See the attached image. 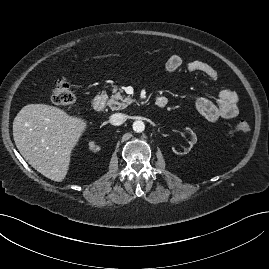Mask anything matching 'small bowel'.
Here are the masks:
<instances>
[{
    "mask_svg": "<svg viewBox=\"0 0 269 269\" xmlns=\"http://www.w3.org/2000/svg\"><path fill=\"white\" fill-rule=\"evenodd\" d=\"M183 60L178 55L170 56L165 63V68L169 73H176L182 66ZM189 72H199L205 76L216 79V70L207 62L192 60L187 63ZM239 99L235 92L231 90H221L217 94L216 101H212L206 97H199L195 101L198 112L208 121H216L218 119L230 120L238 115Z\"/></svg>",
    "mask_w": 269,
    "mask_h": 269,
    "instance_id": "obj_1",
    "label": "small bowel"
}]
</instances>
